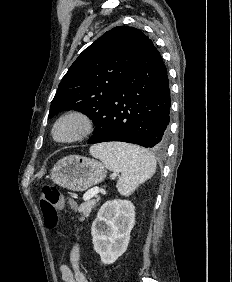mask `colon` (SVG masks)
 Returning <instances> with one entry per match:
<instances>
[{"instance_id": "5ec220e1", "label": "colon", "mask_w": 232, "mask_h": 282, "mask_svg": "<svg viewBox=\"0 0 232 282\" xmlns=\"http://www.w3.org/2000/svg\"><path fill=\"white\" fill-rule=\"evenodd\" d=\"M66 205H69L71 208L75 206L72 201L66 202L56 187L46 185L42 188L40 208L43 214L44 224L48 229L56 227L59 221V213Z\"/></svg>"}]
</instances>
